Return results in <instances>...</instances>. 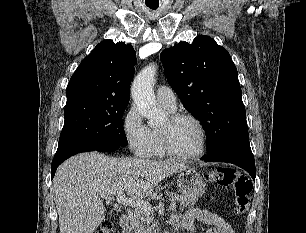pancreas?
I'll return each mask as SVG.
<instances>
[{
	"instance_id": "obj_1",
	"label": "pancreas",
	"mask_w": 306,
	"mask_h": 233,
	"mask_svg": "<svg viewBox=\"0 0 306 233\" xmlns=\"http://www.w3.org/2000/svg\"><path fill=\"white\" fill-rule=\"evenodd\" d=\"M170 200L177 202L180 209H184L187 206L195 204L196 199L179 195L176 193H167ZM131 229L133 233H157V223H155L152 212H145L143 210L136 209L131 216Z\"/></svg>"
}]
</instances>
